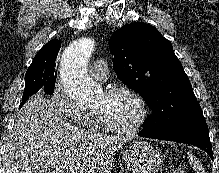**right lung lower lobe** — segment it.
<instances>
[{
  "label": "right lung lower lobe",
  "instance_id": "98d812e1",
  "mask_svg": "<svg viewBox=\"0 0 219 173\" xmlns=\"http://www.w3.org/2000/svg\"><path fill=\"white\" fill-rule=\"evenodd\" d=\"M28 100V98L23 99L22 103L20 104L19 108H21L23 106V104Z\"/></svg>",
  "mask_w": 219,
  "mask_h": 173
}]
</instances>
